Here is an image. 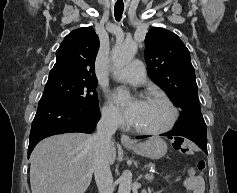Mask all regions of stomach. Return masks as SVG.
Returning a JSON list of instances; mask_svg holds the SVG:
<instances>
[{
	"label": "stomach",
	"instance_id": "obj_1",
	"mask_svg": "<svg viewBox=\"0 0 237 193\" xmlns=\"http://www.w3.org/2000/svg\"><path fill=\"white\" fill-rule=\"evenodd\" d=\"M128 148L140 156L151 159H159L167 152L166 142L159 137H152L143 143L128 146Z\"/></svg>",
	"mask_w": 237,
	"mask_h": 193
}]
</instances>
